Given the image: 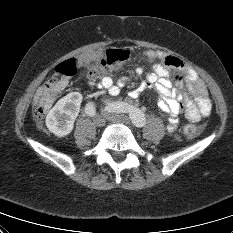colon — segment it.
I'll list each match as a JSON object with an SVG mask.
<instances>
[{
    "label": "colon",
    "instance_id": "5ec220e1",
    "mask_svg": "<svg viewBox=\"0 0 233 233\" xmlns=\"http://www.w3.org/2000/svg\"><path fill=\"white\" fill-rule=\"evenodd\" d=\"M130 58V51L126 49H110L100 63L93 64L87 71L90 79L96 80L111 72L114 68L124 64ZM77 65L75 60L68 59L60 63L54 73L37 90L34 97V115L42 119L52 106L55 96L65 86L68 79L75 75ZM202 127L188 124L184 127V134L190 137L200 134Z\"/></svg>",
    "mask_w": 233,
    "mask_h": 233
}]
</instances>
